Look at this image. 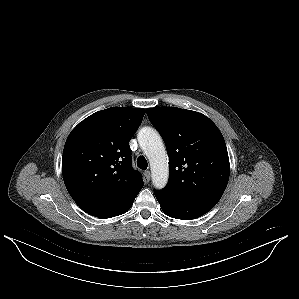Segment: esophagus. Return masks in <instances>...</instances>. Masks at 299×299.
I'll return each mask as SVG.
<instances>
[{"label": "esophagus", "instance_id": "obj_1", "mask_svg": "<svg viewBox=\"0 0 299 299\" xmlns=\"http://www.w3.org/2000/svg\"><path fill=\"white\" fill-rule=\"evenodd\" d=\"M144 176L147 181H150L151 173L149 170L144 171Z\"/></svg>", "mask_w": 299, "mask_h": 299}]
</instances>
